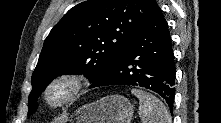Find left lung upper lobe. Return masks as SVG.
<instances>
[{"label": "left lung upper lobe", "mask_w": 221, "mask_h": 123, "mask_svg": "<svg viewBox=\"0 0 221 123\" xmlns=\"http://www.w3.org/2000/svg\"><path fill=\"white\" fill-rule=\"evenodd\" d=\"M155 0H88L70 9L48 37L32 74L29 112L46 86L63 74H84L91 82L121 55L154 15Z\"/></svg>", "instance_id": "obj_1"}]
</instances>
